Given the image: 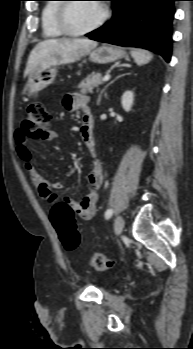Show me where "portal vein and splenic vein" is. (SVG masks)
<instances>
[{
  "label": "portal vein and splenic vein",
  "mask_w": 193,
  "mask_h": 349,
  "mask_svg": "<svg viewBox=\"0 0 193 349\" xmlns=\"http://www.w3.org/2000/svg\"><path fill=\"white\" fill-rule=\"evenodd\" d=\"M109 79H110V75L109 74H107V75H105L103 77V81H108Z\"/></svg>",
  "instance_id": "18ae733b"
}]
</instances>
